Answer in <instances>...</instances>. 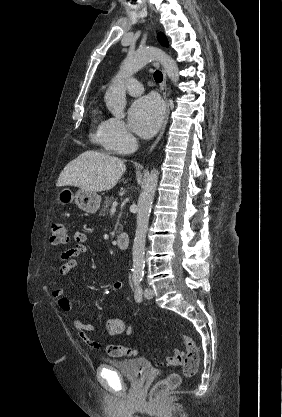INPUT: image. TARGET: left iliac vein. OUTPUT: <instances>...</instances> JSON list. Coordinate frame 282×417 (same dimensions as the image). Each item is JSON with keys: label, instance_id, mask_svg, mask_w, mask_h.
Here are the masks:
<instances>
[{"label": "left iliac vein", "instance_id": "obj_1", "mask_svg": "<svg viewBox=\"0 0 282 417\" xmlns=\"http://www.w3.org/2000/svg\"><path fill=\"white\" fill-rule=\"evenodd\" d=\"M144 296L147 299L153 298V296H154L153 290L151 288H146L145 291H144Z\"/></svg>", "mask_w": 282, "mask_h": 417}]
</instances>
